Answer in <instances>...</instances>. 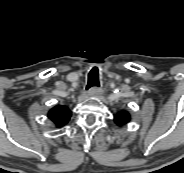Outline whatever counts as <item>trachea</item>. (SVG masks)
I'll return each mask as SVG.
<instances>
[{"label":"trachea","mask_w":184,"mask_h":173,"mask_svg":"<svg viewBox=\"0 0 184 173\" xmlns=\"http://www.w3.org/2000/svg\"><path fill=\"white\" fill-rule=\"evenodd\" d=\"M91 87H99V77L98 71L96 69L91 70L88 74V83L86 89L88 90Z\"/></svg>","instance_id":"1"}]
</instances>
